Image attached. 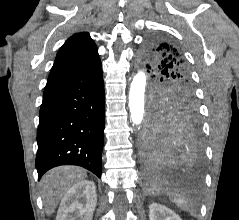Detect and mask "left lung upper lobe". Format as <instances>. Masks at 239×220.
<instances>
[{
  "label": "left lung upper lobe",
  "mask_w": 239,
  "mask_h": 220,
  "mask_svg": "<svg viewBox=\"0 0 239 220\" xmlns=\"http://www.w3.org/2000/svg\"><path fill=\"white\" fill-rule=\"evenodd\" d=\"M148 72L157 79L152 91L151 109L196 113V98L189 65L181 48L162 36L147 39L141 52Z\"/></svg>",
  "instance_id": "obj_1"
}]
</instances>
